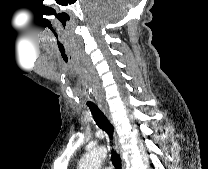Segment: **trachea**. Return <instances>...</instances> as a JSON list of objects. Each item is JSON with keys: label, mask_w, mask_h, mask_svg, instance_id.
I'll list each match as a JSON object with an SVG mask.
<instances>
[{"label": "trachea", "mask_w": 208, "mask_h": 169, "mask_svg": "<svg viewBox=\"0 0 208 169\" xmlns=\"http://www.w3.org/2000/svg\"><path fill=\"white\" fill-rule=\"evenodd\" d=\"M92 116L98 125L103 131L107 133L110 139V144L112 146L111 150V160L116 169H121V159L119 154L116 152L115 149H113V134H114V128L110 121L107 119V117L98 109L95 105H88Z\"/></svg>", "instance_id": "1"}]
</instances>
